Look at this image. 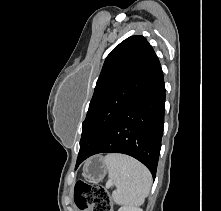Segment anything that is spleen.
Instances as JSON below:
<instances>
[{
    "mask_svg": "<svg viewBox=\"0 0 221 211\" xmlns=\"http://www.w3.org/2000/svg\"><path fill=\"white\" fill-rule=\"evenodd\" d=\"M108 177L116 185L112 198L118 205L139 206L148 196L152 177L140 162L123 154H108L103 159Z\"/></svg>",
    "mask_w": 221,
    "mask_h": 211,
    "instance_id": "1",
    "label": "spleen"
}]
</instances>
